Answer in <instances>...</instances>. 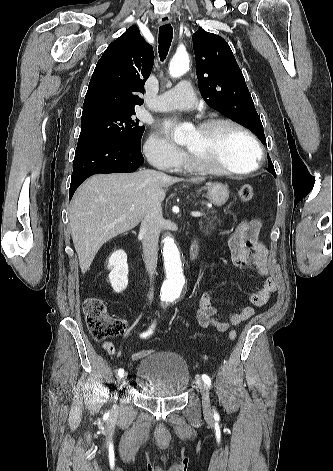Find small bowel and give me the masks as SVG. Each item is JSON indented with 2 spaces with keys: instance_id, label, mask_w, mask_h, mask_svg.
Instances as JSON below:
<instances>
[{
  "instance_id": "c3829d8e",
  "label": "small bowel",
  "mask_w": 333,
  "mask_h": 471,
  "mask_svg": "<svg viewBox=\"0 0 333 471\" xmlns=\"http://www.w3.org/2000/svg\"><path fill=\"white\" fill-rule=\"evenodd\" d=\"M261 223L258 220L244 221L240 223L228 239V248L231 262L238 268H254L263 278L262 289L250 294L249 301L252 306H245L239 312L232 314L228 321H224L217 308L213 305V297L209 292L201 295L197 312V323L202 329L216 328L220 332H226L231 326H237L247 321L254 315L255 307H262L270 299L276 289L273 278L269 275L267 264L268 251L260 242L259 234ZM102 347L108 354H115L112 342L105 341Z\"/></svg>"
}]
</instances>
